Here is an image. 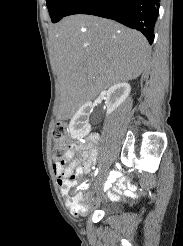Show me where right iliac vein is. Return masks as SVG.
Here are the masks:
<instances>
[{
	"label": "right iliac vein",
	"instance_id": "right-iliac-vein-1",
	"mask_svg": "<svg viewBox=\"0 0 183 246\" xmlns=\"http://www.w3.org/2000/svg\"><path fill=\"white\" fill-rule=\"evenodd\" d=\"M98 184H99V179L97 178L96 181H95V183H94V190L97 189Z\"/></svg>",
	"mask_w": 183,
	"mask_h": 246
}]
</instances>
